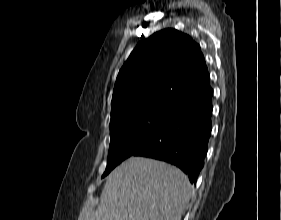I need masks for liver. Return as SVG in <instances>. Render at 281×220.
Returning a JSON list of instances; mask_svg holds the SVG:
<instances>
[{
    "mask_svg": "<svg viewBox=\"0 0 281 220\" xmlns=\"http://www.w3.org/2000/svg\"><path fill=\"white\" fill-rule=\"evenodd\" d=\"M192 190L179 168L131 157L107 176L96 211L79 220H181Z\"/></svg>",
    "mask_w": 281,
    "mask_h": 220,
    "instance_id": "1",
    "label": "liver"
}]
</instances>
